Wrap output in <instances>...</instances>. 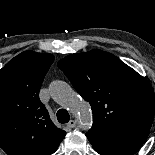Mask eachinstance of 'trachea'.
<instances>
[{"label":"trachea","mask_w":155,"mask_h":155,"mask_svg":"<svg viewBox=\"0 0 155 155\" xmlns=\"http://www.w3.org/2000/svg\"><path fill=\"white\" fill-rule=\"evenodd\" d=\"M57 120L60 123L65 124L70 120V115L65 109H59L57 111Z\"/></svg>","instance_id":"obj_1"}]
</instances>
